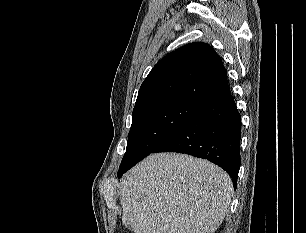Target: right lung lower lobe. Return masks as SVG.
<instances>
[{
	"instance_id": "obj_1",
	"label": "right lung lower lobe",
	"mask_w": 306,
	"mask_h": 233,
	"mask_svg": "<svg viewBox=\"0 0 306 233\" xmlns=\"http://www.w3.org/2000/svg\"><path fill=\"white\" fill-rule=\"evenodd\" d=\"M240 139L241 116L229 92L204 105L152 153L179 152L207 159L231 176L236 189Z\"/></svg>"
}]
</instances>
